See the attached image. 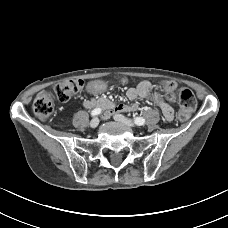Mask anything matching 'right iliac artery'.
Segmentation results:
<instances>
[{"label":"right iliac artery","instance_id":"right-iliac-artery-1","mask_svg":"<svg viewBox=\"0 0 228 228\" xmlns=\"http://www.w3.org/2000/svg\"><path fill=\"white\" fill-rule=\"evenodd\" d=\"M101 111L102 110L100 108H96V109L92 110L91 116H97L101 113Z\"/></svg>","mask_w":228,"mask_h":228}]
</instances>
